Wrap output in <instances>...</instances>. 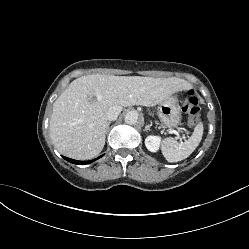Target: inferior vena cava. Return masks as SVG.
Returning <instances> with one entry per match:
<instances>
[{
  "mask_svg": "<svg viewBox=\"0 0 249 249\" xmlns=\"http://www.w3.org/2000/svg\"><path fill=\"white\" fill-rule=\"evenodd\" d=\"M122 107L121 106H112L108 109L106 115L109 121H114L117 119L118 115L121 113Z\"/></svg>",
  "mask_w": 249,
  "mask_h": 249,
  "instance_id": "1",
  "label": "inferior vena cava"
}]
</instances>
